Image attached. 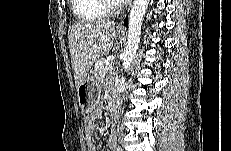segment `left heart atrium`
<instances>
[{
    "label": "left heart atrium",
    "instance_id": "left-heart-atrium-1",
    "mask_svg": "<svg viewBox=\"0 0 231 151\" xmlns=\"http://www.w3.org/2000/svg\"><path fill=\"white\" fill-rule=\"evenodd\" d=\"M116 2L117 3H126L127 1L126 0H117Z\"/></svg>",
    "mask_w": 231,
    "mask_h": 151
}]
</instances>
